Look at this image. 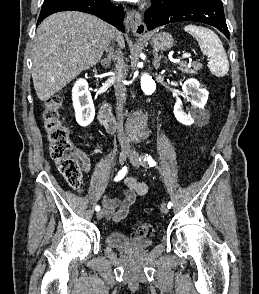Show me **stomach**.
<instances>
[{"label":"stomach","mask_w":259,"mask_h":294,"mask_svg":"<svg viewBox=\"0 0 259 294\" xmlns=\"http://www.w3.org/2000/svg\"><path fill=\"white\" fill-rule=\"evenodd\" d=\"M150 45L156 51H166L173 47L174 40L173 37L166 32H160L152 35L149 38Z\"/></svg>","instance_id":"stomach-1"}]
</instances>
